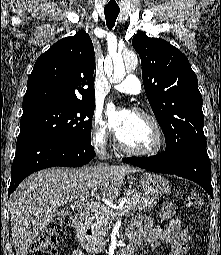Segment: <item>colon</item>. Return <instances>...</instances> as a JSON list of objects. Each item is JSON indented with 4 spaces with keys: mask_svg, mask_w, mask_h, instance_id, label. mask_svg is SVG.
<instances>
[{
    "mask_svg": "<svg viewBox=\"0 0 221 255\" xmlns=\"http://www.w3.org/2000/svg\"><path fill=\"white\" fill-rule=\"evenodd\" d=\"M189 207H197L202 204L199 194L193 193L186 198ZM64 231V224L61 220H54L48 229L34 243L28 255H56V244Z\"/></svg>",
    "mask_w": 221,
    "mask_h": 255,
    "instance_id": "1",
    "label": "colon"
}]
</instances>
